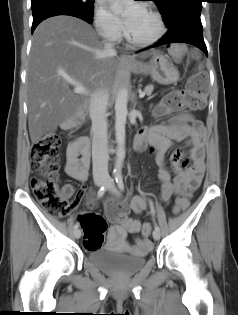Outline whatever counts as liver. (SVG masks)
Wrapping results in <instances>:
<instances>
[{
    "label": "liver",
    "mask_w": 238,
    "mask_h": 315,
    "mask_svg": "<svg viewBox=\"0 0 238 315\" xmlns=\"http://www.w3.org/2000/svg\"><path fill=\"white\" fill-rule=\"evenodd\" d=\"M119 68L120 60L104 54L97 34L85 21L67 15L44 20L34 32L27 68L32 144L58 125L83 118L89 109L88 94L99 88L113 89ZM67 79L81 83L88 94L73 93Z\"/></svg>",
    "instance_id": "obj_1"
}]
</instances>
